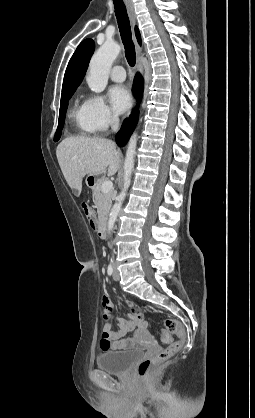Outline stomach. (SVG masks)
<instances>
[{
    "label": "stomach",
    "mask_w": 255,
    "mask_h": 418,
    "mask_svg": "<svg viewBox=\"0 0 255 418\" xmlns=\"http://www.w3.org/2000/svg\"><path fill=\"white\" fill-rule=\"evenodd\" d=\"M98 183L97 175H88L86 178V184L90 188L94 189Z\"/></svg>",
    "instance_id": "stomach-1"
}]
</instances>
